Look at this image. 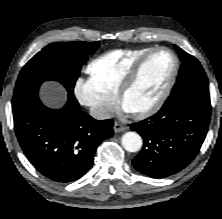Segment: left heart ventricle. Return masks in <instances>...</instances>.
<instances>
[{"mask_svg":"<svg viewBox=\"0 0 222 219\" xmlns=\"http://www.w3.org/2000/svg\"><path fill=\"white\" fill-rule=\"evenodd\" d=\"M172 67L173 57L168 52H157L149 57L135 85L125 96L124 106L135 112L152 105L161 94Z\"/></svg>","mask_w":222,"mask_h":219,"instance_id":"obj_1","label":"left heart ventricle"}]
</instances>
